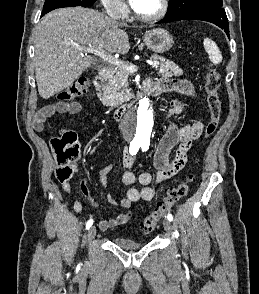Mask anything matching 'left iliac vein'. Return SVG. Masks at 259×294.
Segmentation results:
<instances>
[{"mask_svg":"<svg viewBox=\"0 0 259 294\" xmlns=\"http://www.w3.org/2000/svg\"><path fill=\"white\" fill-rule=\"evenodd\" d=\"M163 226H164V229L167 231V232H171L172 231V223L171 221H169L168 219H165L163 221Z\"/></svg>","mask_w":259,"mask_h":294,"instance_id":"1","label":"left iliac vein"}]
</instances>
